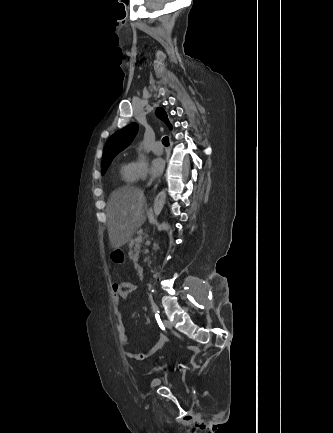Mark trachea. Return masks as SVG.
<instances>
[{"label": "trachea", "instance_id": "1", "mask_svg": "<svg viewBox=\"0 0 333 433\" xmlns=\"http://www.w3.org/2000/svg\"><path fill=\"white\" fill-rule=\"evenodd\" d=\"M162 143H163V145H164L165 147H168V146H169V140H168V137H164V138L162 139Z\"/></svg>", "mask_w": 333, "mask_h": 433}]
</instances>
